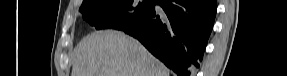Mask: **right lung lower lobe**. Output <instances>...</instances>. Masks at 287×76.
Here are the masks:
<instances>
[{
  "instance_id": "obj_1",
  "label": "right lung lower lobe",
  "mask_w": 287,
  "mask_h": 76,
  "mask_svg": "<svg viewBox=\"0 0 287 76\" xmlns=\"http://www.w3.org/2000/svg\"><path fill=\"white\" fill-rule=\"evenodd\" d=\"M138 23L123 31L137 38L178 76H194L213 28L216 0H154Z\"/></svg>"
}]
</instances>
